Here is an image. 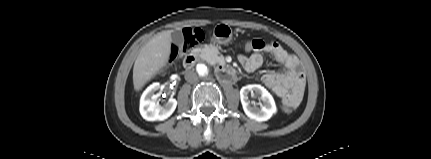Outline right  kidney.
I'll return each mask as SVG.
<instances>
[{"mask_svg": "<svg viewBox=\"0 0 431 159\" xmlns=\"http://www.w3.org/2000/svg\"><path fill=\"white\" fill-rule=\"evenodd\" d=\"M160 89L158 82L151 84L142 94L140 99V114L147 121H163L170 117L177 106L176 99L170 98L161 106L157 102L156 91Z\"/></svg>", "mask_w": 431, "mask_h": 159, "instance_id": "1", "label": "right kidney"}]
</instances>
